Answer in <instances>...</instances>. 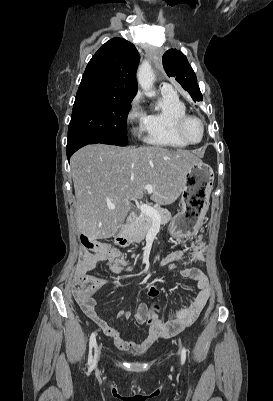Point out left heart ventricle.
Listing matches in <instances>:
<instances>
[{"mask_svg": "<svg viewBox=\"0 0 273 401\" xmlns=\"http://www.w3.org/2000/svg\"><path fill=\"white\" fill-rule=\"evenodd\" d=\"M184 135L189 141H200L203 137V129L200 122L197 119L189 120L184 128Z\"/></svg>", "mask_w": 273, "mask_h": 401, "instance_id": "left-heart-ventricle-1", "label": "left heart ventricle"}]
</instances>
